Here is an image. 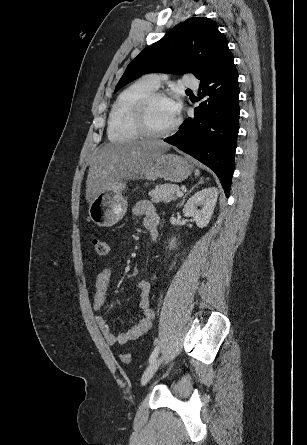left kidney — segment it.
Segmentation results:
<instances>
[{"label":"left kidney","mask_w":307,"mask_h":445,"mask_svg":"<svg viewBox=\"0 0 307 445\" xmlns=\"http://www.w3.org/2000/svg\"><path fill=\"white\" fill-rule=\"evenodd\" d=\"M218 194L216 186L198 190L196 194H193L187 200L183 208L185 216H193V220H195L197 227H200V229L207 227L208 223H210ZM198 206H201V208H198Z\"/></svg>","instance_id":"left-kidney-1"}]
</instances>
